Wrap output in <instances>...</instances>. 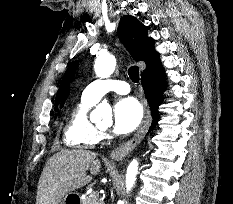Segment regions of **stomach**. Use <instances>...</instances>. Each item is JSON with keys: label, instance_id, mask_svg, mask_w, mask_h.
I'll list each match as a JSON object with an SVG mask.
<instances>
[{"label": "stomach", "instance_id": "1", "mask_svg": "<svg viewBox=\"0 0 233 204\" xmlns=\"http://www.w3.org/2000/svg\"><path fill=\"white\" fill-rule=\"evenodd\" d=\"M67 197V196H66ZM66 197L59 204H66Z\"/></svg>", "mask_w": 233, "mask_h": 204}]
</instances>
